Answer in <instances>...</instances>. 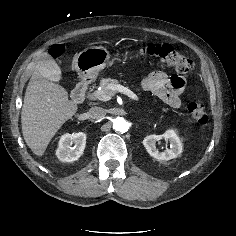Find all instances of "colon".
Listing matches in <instances>:
<instances>
[{"label":"colon","instance_id":"obj_1","mask_svg":"<svg viewBox=\"0 0 236 236\" xmlns=\"http://www.w3.org/2000/svg\"><path fill=\"white\" fill-rule=\"evenodd\" d=\"M63 49L59 46L52 48L51 53L58 57ZM141 54L151 60H156L172 66L176 72L187 74L193 70V62L186 56L177 52L169 44H148L141 49ZM187 110L192 119L199 125H206L209 117L206 108L198 102H191L187 105Z\"/></svg>","mask_w":236,"mask_h":236}]
</instances>
